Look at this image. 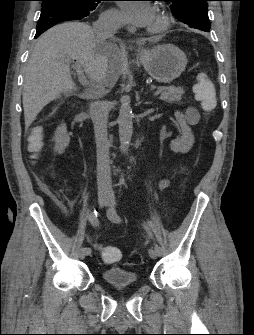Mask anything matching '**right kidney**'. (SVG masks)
<instances>
[{
  "label": "right kidney",
  "instance_id": "obj_1",
  "mask_svg": "<svg viewBox=\"0 0 254 335\" xmlns=\"http://www.w3.org/2000/svg\"><path fill=\"white\" fill-rule=\"evenodd\" d=\"M53 140L55 141L54 151L58 154H62L66 147H68L70 141L67 127L64 123L57 127Z\"/></svg>",
  "mask_w": 254,
  "mask_h": 335
}]
</instances>
